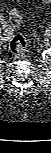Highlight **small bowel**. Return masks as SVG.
I'll list each match as a JSON object with an SVG mask.
<instances>
[{
  "mask_svg": "<svg viewBox=\"0 0 51 153\" xmlns=\"http://www.w3.org/2000/svg\"><path fill=\"white\" fill-rule=\"evenodd\" d=\"M42 2H45V3H48V2H50L51 0H41ZM19 2H20V0H19ZM2 20V19H1Z\"/></svg>",
  "mask_w": 51,
  "mask_h": 153,
  "instance_id": "c3829d8e",
  "label": "small bowel"
}]
</instances>
